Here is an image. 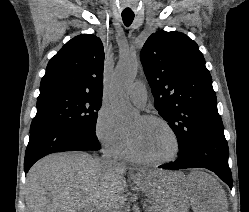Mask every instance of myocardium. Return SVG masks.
I'll list each match as a JSON object with an SVG mask.
<instances>
[{
    "mask_svg": "<svg viewBox=\"0 0 249 212\" xmlns=\"http://www.w3.org/2000/svg\"><path fill=\"white\" fill-rule=\"evenodd\" d=\"M141 119L146 121V122H157L161 125H163L173 136L174 140H175V152L174 154L166 159L163 160H157V161H153V160H147L142 158L140 155H138L135 150L133 149L130 139L128 141V149H129V154L130 157L133 161L145 165V166H150V167H159V166H164L167 164H170L174 161H176L178 159V157L181 154V141L179 138V135L177 134L176 130L173 128V126L164 118L156 116V115H143L141 116Z\"/></svg>",
    "mask_w": 249,
    "mask_h": 212,
    "instance_id": "1",
    "label": "myocardium"
}]
</instances>
